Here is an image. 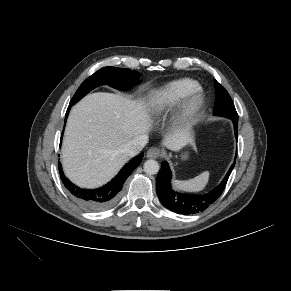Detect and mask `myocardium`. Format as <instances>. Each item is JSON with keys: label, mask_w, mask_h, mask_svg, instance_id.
Segmentation results:
<instances>
[{"label": "myocardium", "mask_w": 291, "mask_h": 291, "mask_svg": "<svg viewBox=\"0 0 291 291\" xmlns=\"http://www.w3.org/2000/svg\"><path fill=\"white\" fill-rule=\"evenodd\" d=\"M206 98L199 88L190 93L181 103L176 115V122L179 126L192 125L203 111Z\"/></svg>", "instance_id": "obj_1"}]
</instances>
